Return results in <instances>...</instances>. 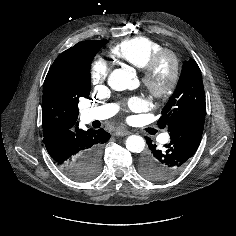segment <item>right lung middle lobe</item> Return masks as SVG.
I'll return each mask as SVG.
<instances>
[{
	"label": "right lung middle lobe",
	"mask_w": 236,
	"mask_h": 236,
	"mask_svg": "<svg viewBox=\"0 0 236 236\" xmlns=\"http://www.w3.org/2000/svg\"><path fill=\"white\" fill-rule=\"evenodd\" d=\"M108 41L105 40L102 44L92 47L88 51L84 52L81 56L80 63L76 67L73 92L79 99L80 97H87L90 94V66L93 57L98 50L104 46ZM100 170V153L91 154L86 162L81 166V172L78 177L75 173L71 174V178H78L80 180H89L95 177Z\"/></svg>",
	"instance_id": "1"
}]
</instances>
